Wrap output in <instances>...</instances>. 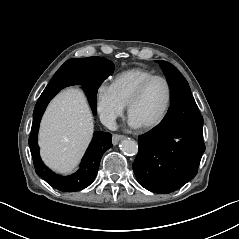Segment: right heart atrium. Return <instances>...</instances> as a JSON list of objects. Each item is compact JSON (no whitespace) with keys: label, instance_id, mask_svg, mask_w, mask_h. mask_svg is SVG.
<instances>
[{"label":"right heart atrium","instance_id":"1","mask_svg":"<svg viewBox=\"0 0 239 239\" xmlns=\"http://www.w3.org/2000/svg\"><path fill=\"white\" fill-rule=\"evenodd\" d=\"M96 109L103 123L112 125L125 111V106L115 95L111 85L100 84L95 93Z\"/></svg>","mask_w":239,"mask_h":239}]
</instances>
